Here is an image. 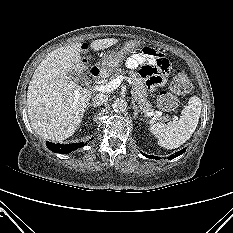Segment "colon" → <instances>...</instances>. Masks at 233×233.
Wrapping results in <instances>:
<instances>
[{"label": "colon", "instance_id": "obj_1", "mask_svg": "<svg viewBox=\"0 0 233 233\" xmlns=\"http://www.w3.org/2000/svg\"><path fill=\"white\" fill-rule=\"evenodd\" d=\"M171 88L178 94L187 93L191 89L190 80L184 70L177 69L175 71ZM158 104L164 110H173L178 106L179 102L172 93L163 91L158 97Z\"/></svg>", "mask_w": 233, "mask_h": 233}]
</instances>
